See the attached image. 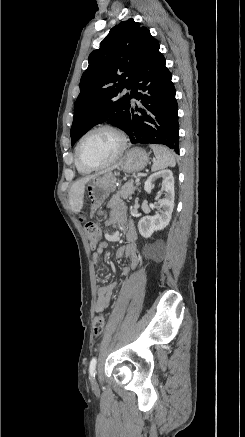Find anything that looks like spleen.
<instances>
[{"label": "spleen", "mask_w": 245, "mask_h": 437, "mask_svg": "<svg viewBox=\"0 0 245 437\" xmlns=\"http://www.w3.org/2000/svg\"><path fill=\"white\" fill-rule=\"evenodd\" d=\"M153 150L156 160L152 165V171L162 170L167 167H174L176 165L175 155L171 150L162 145H150Z\"/></svg>", "instance_id": "1"}]
</instances>
